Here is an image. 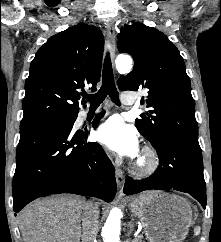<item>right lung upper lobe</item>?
I'll list each match as a JSON object with an SVG mask.
<instances>
[{"label": "right lung upper lobe", "instance_id": "obj_1", "mask_svg": "<svg viewBox=\"0 0 221 242\" xmlns=\"http://www.w3.org/2000/svg\"><path fill=\"white\" fill-rule=\"evenodd\" d=\"M103 47L101 31L84 23L50 37L31 62L20 127L78 113L80 91L96 90Z\"/></svg>", "mask_w": 221, "mask_h": 242}]
</instances>
